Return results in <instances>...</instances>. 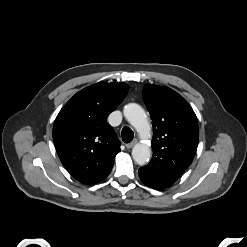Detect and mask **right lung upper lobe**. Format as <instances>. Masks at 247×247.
Listing matches in <instances>:
<instances>
[{
	"label": "right lung upper lobe",
	"instance_id": "cb5924a9",
	"mask_svg": "<svg viewBox=\"0 0 247 247\" xmlns=\"http://www.w3.org/2000/svg\"><path fill=\"white\" fill-rule=\"evenodd\" d=\"M126 83L99 82L76 93L60 110L53 140L68 172L83 184H94L110 173L120 141L107 116L124 100Z\"/></svg>",
	"mask_w": 247,
	"mask_h": 247
}]
</instances>
